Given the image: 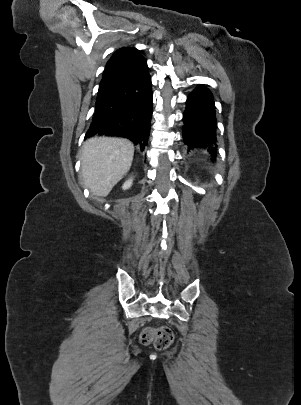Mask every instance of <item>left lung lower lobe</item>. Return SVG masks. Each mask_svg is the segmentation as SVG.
Wrapping results in <instances>:
<instances>
[{"mask_svg": "<svg viewBox=\"0 0 301 405\" xmlns=\"http://www.w3.org/2000/svg\"><path fill=\"white\" fill-rule=\"evenodd\" d=\"M183 141L188 148H207L217 154L215 105L205 86H199L188 96L183 115Z\"/></svg>", "mask_w": 301, "mask_h": 405, "instance_id": "1", "label": "left lung lower lobe"}]
</instances>
